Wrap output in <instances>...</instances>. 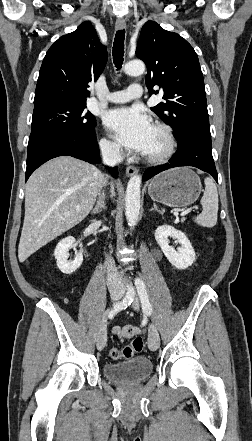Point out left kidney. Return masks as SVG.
<instances>
[{
    "mask_svg": "<svg viewBox=\"0 0 252 441\" xmlns=\"http://www.w3.org/2000/svg\"><path fill=\"white\" fill-rule=\"evenodd\" d=\"M169 237L176 238L181 247L176 251L169 245ZM155 239L169 262L178 269H186L195 261L194 249L186 235L169 225L159 226L155 230Z\"/></svg>",
    "mask_w": 252,
    "mask_h": 441,
    "instance_id": "5707ae66",
    "label": "left kidney"
}]
</instances>
